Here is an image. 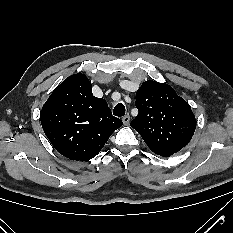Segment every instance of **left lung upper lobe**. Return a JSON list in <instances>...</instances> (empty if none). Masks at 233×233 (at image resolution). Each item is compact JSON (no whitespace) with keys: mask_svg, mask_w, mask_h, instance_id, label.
<instances>
[{"mask_svg":"<svg viewBox=\"0 0 233 233\" xmlns=\"http://www.w3.org/2000/svg\"><path fill=\"white\" fill-rule=\"evenodd\" d=\"M135 104L139 113L130 125L155 154L168 157L189 143L196 119L189 104L170 85L144 82Z\"/></svg>","mask_w":233,"mask_h":233,"instance_id":"left-lung-upper-lobe-1","label":"left lung upper lobe"}]
</instances>
